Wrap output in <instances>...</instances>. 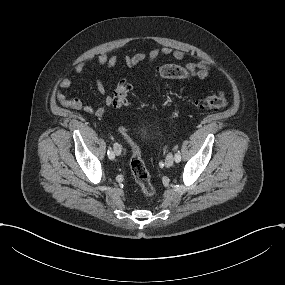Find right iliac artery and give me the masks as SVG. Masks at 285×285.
Instances as JSON below:
<instances>
[{
	"instance_id": "1",
	"label": "right iliac artery",
	"mask_w": 285,
	"mask_h": 285,
	"mask_svg": "<svg viewBox=\"0 0 285 285\" xmlns=\"http://www.w3.org/2000/svg\"><path fill=\"white\" fill-rule=\"evenodd\" d=\"M107 154H108L109 159L115 158V155H114L113 151L111 150V147L108 148Z\"/></svg>"
}]
</instances>
